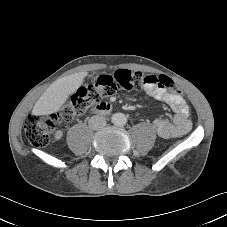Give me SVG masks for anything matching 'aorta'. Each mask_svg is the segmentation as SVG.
<instances>
[{
	"label": "aorta",
	"instance_id": "aorta-1",
	"mask_svg": "<svg viewBox=\"0 0 227 227\" xmlns=\"http://www.w3.org/2000/svg\"><path fill=\"white\" fill-rule=\"evenodd\" d=\"M112 123L117 126H123L127 123V118L123 113H115L111 117Z\"/></svg>",
	"mask_w": 227,
	"mask_h": 227
}]
</instances>
